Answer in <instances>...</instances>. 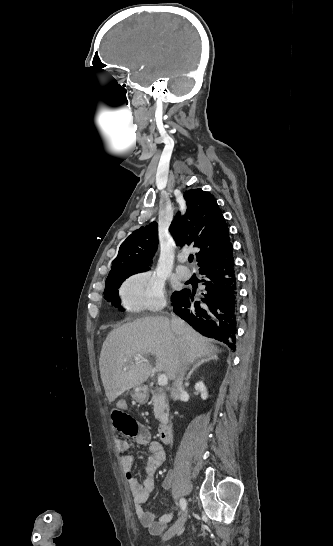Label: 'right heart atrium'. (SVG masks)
<instances>
[{
	"label": "right heart atrium",
	"mask_w": 333,
	"mask_h": 546,
	"mask_svg": "<svg viewBox=\"0 0 333 546\" xmlns=\"http://www.w3.org/2000/svg\"><path fill=\"white\" fill-rule=\"evenodd\" d=\"M119 300L126 313H155L165 306L164 286L150 273H137L123 282Z\"/></svg>",
	"instance_id": "d8ad5b80"
}]
</instances>
